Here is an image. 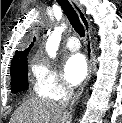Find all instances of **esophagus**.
Wrapping results in <instances>:
<instances>
[{
  "label": "esophagus",
  "instance_id": "obj_1",
  "mask_svg": "<svg viewBox=\"0 0 122 123\" xmlns=\"http://www.w3.org/2000/svg\"><path fill=\"white\" fill-rule=\"evenodd\" d=\"M70 3L75 9L80 19V22L82 23L85 29L86 57L88 61V74L73 98V102H75L76 100H78V98L82 94L84 88L86 87V85L88 84L91 78L92 68H93V44H92V38H91V27L82 6L77 0H70Z\"/></svg>",
  "mask_w": 122,
  "mask_h": 123
}]
</instances>
